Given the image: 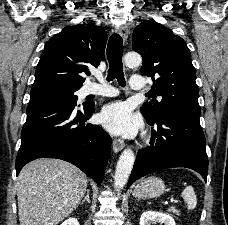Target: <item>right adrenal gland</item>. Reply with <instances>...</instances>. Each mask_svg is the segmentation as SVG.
<instances>
[{
	"label": "right adrenal gland",
	"mask_w": 228,
	"mask_h": 225,
	"mask_svg": "<svg viewBox=\"0 0 228 225\" xmlns=\"http://www.w3.org/2000/svg\"><path fill=\"white\" fill-rule=\"evenodd\" d=\"M84 201H88V203H90L89 189H87L86 197H84L83 201H81V205H83Z\"/></svg>",
	"instance_id": "obj_1"
}]
</instances>
